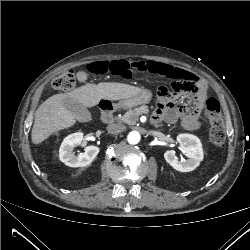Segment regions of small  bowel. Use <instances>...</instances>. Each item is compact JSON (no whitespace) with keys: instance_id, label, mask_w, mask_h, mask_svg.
Listing matches in <instances>:
<instances>
[{"instance_id":"1","label":"small bowel","mask_w":250,"mask_h":250,"mask_svg":"<svg viewBox=\"0 0 250 250\" xmlns=\"http://www.w3.org/2000/svg\"><path fill=\"white\" fill-rule=\"evenodd\" d=\"M135 65L139 69L154 74L172 79L178 78L183 82V86L177 92L182 94L192 93L195 96L192 100L175 104L171 91L165 87L160 88L161 95L155 111V119L163 118L169 123L180 120L188 130H198L202 127L201 113L207 96V85L202 79L187 70L162 62L141 60ZM77 78L80 82H84L87 80V75L84 71H80Z\"/></svg>"}]
</instances>
